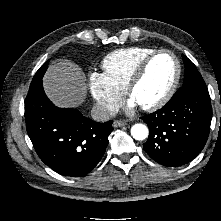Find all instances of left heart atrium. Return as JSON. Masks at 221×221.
Here are the masks:
<instances>
[{
  "mask_svg": "<svg viewBox=\"0 0 221 221\" xmlns=\"http://www.w3.org/2000/svg\"><path fill=\"white\" fill-rule=\"evenodd\" d=\"M136 104H137V103H136L133 99H131V100L129 101V107H134Z\"/></svg>",
  "mask_w": 221,
  "mask_h": 221,
  "instance_id": "left-heart-atrium-1",
  "label": "left heart atrium"
}]
</instances>
